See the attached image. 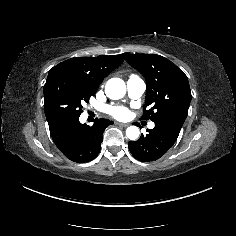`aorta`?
<instances>
[{"mask_svg": "<svg viewBox=\"0 0 236 236\" xmlns=\"http://www.w3.org/2000/svg\"><path fill=\"white\" fill-rule=\"evenodd\" d=\"M126 92L125 83L119 78H111L105 86V93L110 99L121 98ZM140 135V130L137 126H129L126 129V136L130 140H136Z\"/></svg>", "mask_w": 236, "mask_h": 236, "instance_id": "1", "label": "aorta"}]
</instances>
